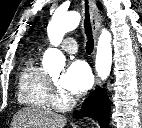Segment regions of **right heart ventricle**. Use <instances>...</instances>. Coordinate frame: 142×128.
I'll return each mask as SVG.
<instances>
[{
    "label": "right heart ventricle",
    "instance_id": "obj_1",
    "mask_svg": "<svg viewBox=\"0 0 142 128\" xmlns=\"http://www.w3.org/2000/svg\"><path fill=\"white\" fill-rule=\"evenodd\" d=\"M18 100L32 108L51 106V83L48 75L33 61L22 69L18 81Z\"/></svg>",
    "mask_w": 142,
    "mask_h": 128
}]
</instances>
